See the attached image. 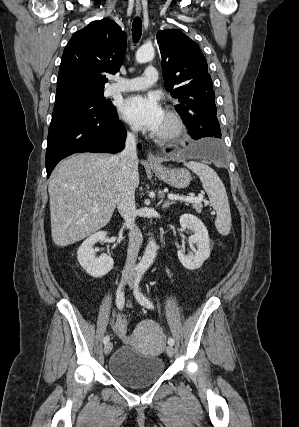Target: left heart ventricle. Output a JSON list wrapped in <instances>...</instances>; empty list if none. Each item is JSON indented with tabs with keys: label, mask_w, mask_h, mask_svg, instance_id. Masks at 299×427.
<instances>
[{
	"label": "left heart ventricle",
	"mask_w": 299,
	"mask_h": 427,
	"mask_svg": "<svg viewBox=\"0 0 299 427\" xmlns=\"http://www.w3.org/2000/svg\"><path fill=\"white\" fill-rule=\"evenodd\" d=\"M167 126H168V123H167V120L165 118L164 122H163V124H162V126H161V128L159 129L158 132L165 130L167 128Z\"/></svg>",
	"instance_id": "left-heart-ventricle-1"
}]
</instances>
